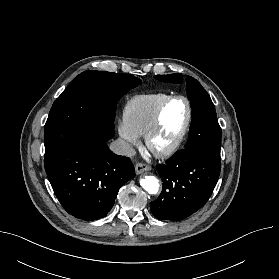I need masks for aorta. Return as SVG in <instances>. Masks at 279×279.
Segmentation results:
<instances>
[{"mask_svg": "<svg viewBox=\"0 0 279 279\" xmlns=\"http://www.w3.org/2000/svg\"><path fill=\"white\" fill-rule=\"evenodd\" d=\"M140 185L149 194H157L159 190V181L154 176H144L140 179Z\"/></svg>", "mask_w": 279, "mask_h": 279, "instance_id": "1", "label": "aorta"}]
</instances>
